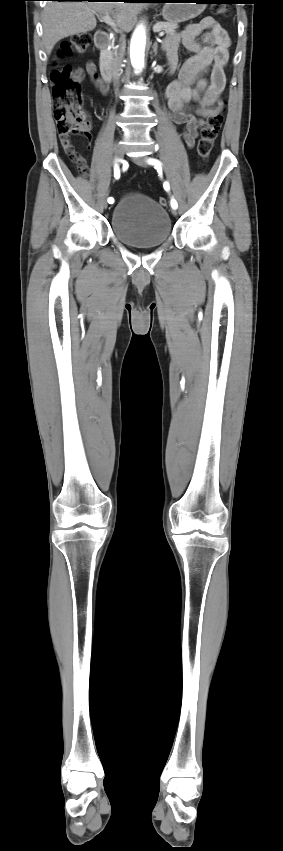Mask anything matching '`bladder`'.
Listing matches in <instances>:
<instances>
[{
  "instance_id": "1",
  "label": "bladder",
  "mask_w": 283,
  "mask_h": 851,
  "mask_svg": "<svg viewBox=\"0 0 283 851\" xmlns=\"http://www.w3.org/2000/svg\"><path fill=\"white\" fill-rule=\"evenodd\" d=\"M111 228L122 243L135 248H153L171 234L166 209L152 198L134 193L119 200L111 215Z\"/></svg>"
}]
</instances>
